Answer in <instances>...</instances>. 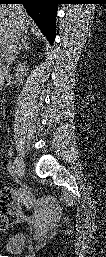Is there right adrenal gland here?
<instances>
[{"instance_id":"1","label":"right adrenal gland","mask_w":106,"mask_h":257,"mask_svg":"<svg viewBox=\"0 0 106 257\" xmlns=\"http://www.w3.org/2000/svg\"><path fill=\"white\" fill-rule=\"evenodd\" d=\"M27 40H29V38L27 36H23L21 39V43L19 44L18 50L16 51L15 55H14V59L13 61L15 62L17 55L19 54V52L23 49H28L29 48V42H27Z\"/></svg>"}]
</instances>
